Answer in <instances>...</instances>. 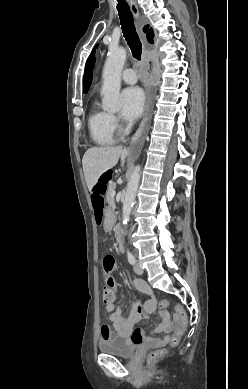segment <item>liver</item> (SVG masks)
<instances>
[{"label":"liver","instance_id":"obj_1","mask_svg":"<svg viewBox=\"0 0 248 389\" xmlns=\"http://www.w3.org/2000/svg\"><path fill=\"white\" fill-rule=\"evenodd\" d=\"M129 151L120 146L117 147H93L88 149L82 159L83 171L88 189L91 191L99 177L108 169L113 168L119 158L122 164Z\"/></svg>","mask_w":248,"mask_h":389}]
</instances>
